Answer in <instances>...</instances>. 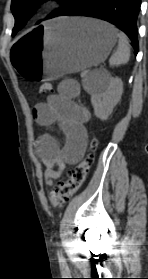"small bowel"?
<instances>
[{"mask_svg":"<svg viewBox=\"0 0 148 279\" xmlns=\"http://www.w3.org/2000/svg\"><path fill=\"white\" fill-rule=\"evenodd\" d=\"M79 95L80 85L77 81L63 80L57 87V93L33 108V116L39 125L47 127L57 124L65 137L63 146L50 134L40 135L35 142V153L45 166L43 176L49 186L63 176L67 165L80 159L86 148L88 136L85 124L90 113L76 103Z\"/></svg>","mask_w":148,"mask_h":279,"instance_id":"1","label":"small bowel"}]
</instances>
